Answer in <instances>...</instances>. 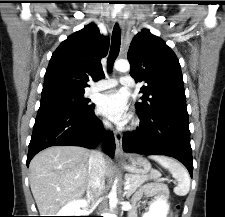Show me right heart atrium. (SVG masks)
<instances>
[{"mask_svg": "<svg viewBox=\"0 0 225 217\" xmlns=\"http://www.w3.org/2000/svg\"><path fill=\"white\" fill-rule=\"evenodd\" d=\"M103 125H104V127H108V122L103 121Z\"/></svg>", "mask_w": 225, "mask_h": 217, "instance_id": "1", "label": "right heart atrium"}]
</instances>
